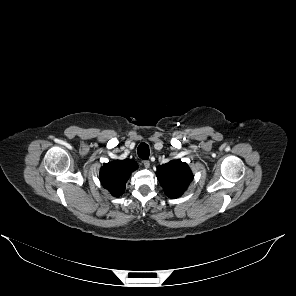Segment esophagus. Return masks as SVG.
Instances as JSON below:
<instances>
[{"label": "esophagus", "mask_w": 296, "mask_h": 296, "mask_svg": "<svg viewBox=\"0 0 296 296\" xmlns=\"http://www.w3.org/2000/svg\"><path fill=\"white\" fill-rule=\"evenodd\" d=\"M144 167L149 168L150 167V162L148 160L143 161Z\"/></svg>", "instance_id": "1"}]
</instances>
